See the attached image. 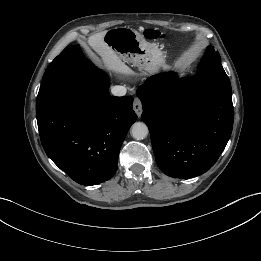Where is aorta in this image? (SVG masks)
Segmentation results:
<instances>
[{"instance_id":"762f6f07","label":"aorta","mask_w":261,"mask_h":261,"mask_svg":"<svg viewBox=\"0 0 261 261\" xmlns=\"http://www.w3.org/2000/svg\"><path fill=\"white\" fill-rule=\"evenodd\" d=\"M148 127L143 122H135L131 127V136L136 140H143L148 135Z\"/></svg>"}]
</instances>
